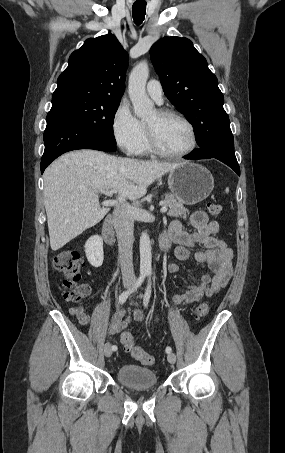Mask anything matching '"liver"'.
Returning a JSON list of instances; mask_svg holds the SVG:
<instances>
[{"instance_id": "6515ba94", "label": "liver", "mask_w": 285, "mask_h": 453, "mask_svg": "<svg viewBox=\"0 0 285 453\" xmlns=\"http://www.w3.org/2000/svg\"><path fill=\"white\" fill-rule=\"evenodd\" d=\"M177 166L95 150H78L59 157L44 172L51 249L59 250L104 218L109 207L100 206L99 191L114 190L120 203L137 200L156 179Z\"/></svg>"}]
</instances>
